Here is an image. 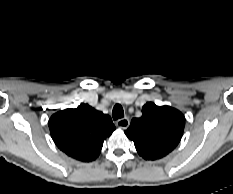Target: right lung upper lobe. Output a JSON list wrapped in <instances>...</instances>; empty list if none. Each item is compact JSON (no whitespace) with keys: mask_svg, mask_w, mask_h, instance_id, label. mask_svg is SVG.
<instances>
[{"mask_svg":"<svg viewBox=\"0 0 233 194\" xmlns=\"http://www.w3.org/2000/svg\"><path fill=\"white\" fill-rule=\"evenodd\" d=\"M48 125L58 148L83 162L95 160L104 140L115 130L110 116L87 104L57 112Z\"/></svg>","mask_w":233,"mask_h":194,"instance_id":"right-lung-upper-lobe-1","label":"right lung upper lobe"}]
</instances>
